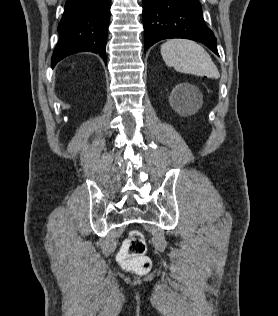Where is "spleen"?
I'll use <instances>...</instances> for the list:
<instances>
[{
	"instance_id": "obj_1",
	"label": "spleen",
	"mask_w": 278,
	"mask_h": 316,
	"mask_svg": "<svg viewBox=\"0 0 278 316\" xmlns=\"http://www.w3.org/2000/svg\"><path fill=\"white\" fill-rule=\"evenodd\" d=\"M161 55L169 67L183 73L219 78V71L206 50L187 39H171L161 45Z\"/></svg>"
}]
</instances>
